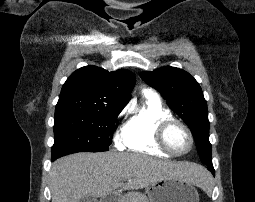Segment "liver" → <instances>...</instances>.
I'll return each mask as SVG.
<instances>
[{"instance_id": "1", "label": "liver", "mask_w": 255, "mask_h": 202, "mask_svg": "<svg viewBox=\"0 0 255 202\" xmlns=\"http://www.w3.org/2000/svg\"><path fill=\"white\" fill-rule=\"evenodd\" d=\"M206 173L194 163L163 161L139 153H76L53 163L50 189L52 202H79L85 195L103 197L117 188L141 189L166 178L202 187Z\"/></svg>"}]
</instances>
